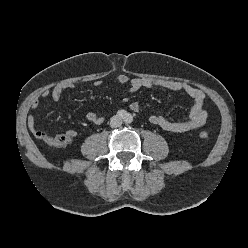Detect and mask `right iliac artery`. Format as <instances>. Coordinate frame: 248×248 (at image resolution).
<instances>
[{
  "mask_svg": "<svg viewBox=\"0 0 248 248\" xmlns=\"http://www.w3.org/2000/svg\"><path fill=\"white\" fill-rule=\"evenodd\" d=\"M117 116H118L119 118H121V119H124V118H126V116H127V112H126L125 110H119V111L117 112Z\"/></svg>",
  "mask_w": 248,
  "mask_h": 248,
  "instance_id": "right-iliac-artery-1",
  "label": "right iliac artery"
}]
</instances>
